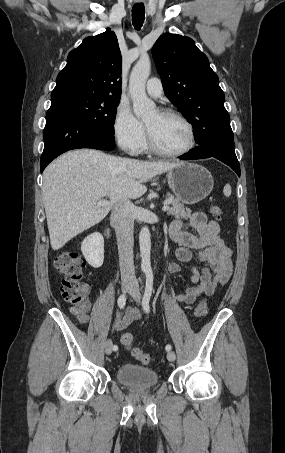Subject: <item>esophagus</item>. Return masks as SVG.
I'll return each mask as SVG.
<instances>
[{
  "label": "esophagus",
  "instance_id": "34e87169",
  "mask_svg": "<svg viewBox=\"0 0 285 453\" xmlns=\"http://www.w3.org/2000/svg\"><path fill=\"white\" fill-rule=\"evenodd\" d=\"M136 1L140 2V1H143V0H136Z\"/></svg>",
  "mask_w": 285,
  "mask_h": 453
}]
</instances>
